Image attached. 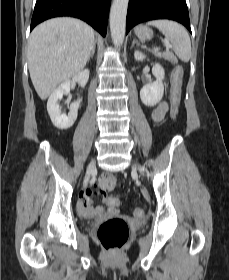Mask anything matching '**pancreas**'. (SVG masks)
<instances>
[{
  "mask_svg": "<svg viewBox=\"0 0 229 280\" xmlns=\"http://www.w3.org/2000/svg\"><path fill=\"white\" fill-rule=\"evenodd\" d=\"M154 54L157 56V57H162L164 58L165 60H168L170 61L171 63H177V59L176 57L173 55L172 52L170 51H165V52H158V51H155Z\"/></svg>",
  "mask_w": 229,
  "mask_h": 280,
  "instance_id": "cf45deb5",
  "label": "pancreas"
}]
</instances>
